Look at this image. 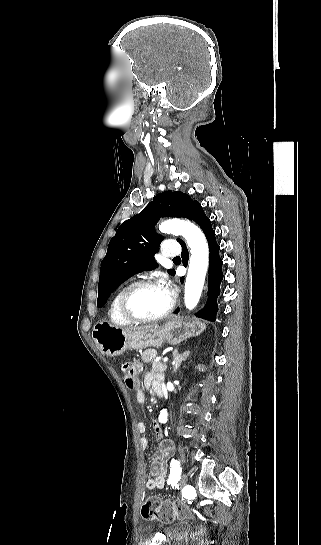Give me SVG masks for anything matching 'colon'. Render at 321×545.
I'll return each mask as SVG.
<instances>
[{"label":"colon","mask_w":321,"mask_h":545,"mask_svg":"<svg viewBox=\"0 0 321 545\" xmlns=\"http://www.w3.org/2000/svg\"><path fill=\"white\" fill-rule=\"evenodd\" d=\"M120 374L128 388L136 387L135 369L132 362L122 361L118 366ZM188 508L181 503L162 501L156 496L148 497L142 504L141 515L144 519H157L162 522H171L176 519L186 518Z\"/></svg>","instance_id":"colon-1"}]
</instances>
